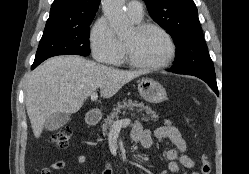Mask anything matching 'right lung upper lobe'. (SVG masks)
I'll use <instances>...</instances> for the list:
<instances>
[{
	"label": "right lung upper lobe",
	"instance_id": "cb5924a9",
	"mask_svg": "<svg viewBox=\"0 0 249 174\" xmlns=\"http://www.w3.org/2000/svg\"><path fill=\"white\" fill-rule=\"evenodd\" d=\"M99 4L100 0H55L44 31L90 21L94 18Z\"/></svg>",
	"mask_w": 249,
	"mask_h": 174
}]
</instances>
